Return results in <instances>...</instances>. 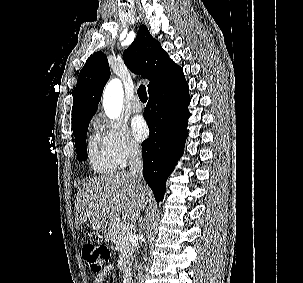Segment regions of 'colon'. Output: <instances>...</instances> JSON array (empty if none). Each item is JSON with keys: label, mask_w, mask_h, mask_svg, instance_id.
<instances>
[{"label": "colon", "mask_w": 303, "mask_h": 283, "mask_svg": "<svg viewBox=\"0 0 303 283\" xmlns=\"http://www.w3.org/2000/svg\"><path fill=\"white\" fill-rule=\"evenodd\" d=\"M110 249L106 245L87 243L82 249V256L92 272H101L110 259Z\"/></svg>", "instance_id": "5ec220e1"}]
</instances>
